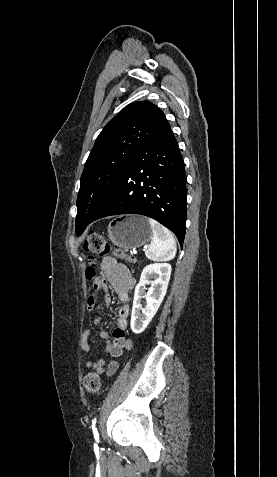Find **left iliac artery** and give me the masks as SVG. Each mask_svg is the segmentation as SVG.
I'll return each mask as SVG.
<instances>
[{
  "label": "left iliac artery",
  "mask_w": 277,
  "mask_h": 477,
  "mask_svg": "<svg viewBox=\"0 0 277 477\" xmlns=\"http://www.w3.org/2000/svg\"><path fill=\"white\" fill-rule=\"evenodd\" d=\"M95 424H96V418H95V419L93 420V422H92V430H93L94 435H95V437H96L98 433H97V430H96V428H95Z\"/></svg>",
  "instance_id": "1"
}]
</instances>
